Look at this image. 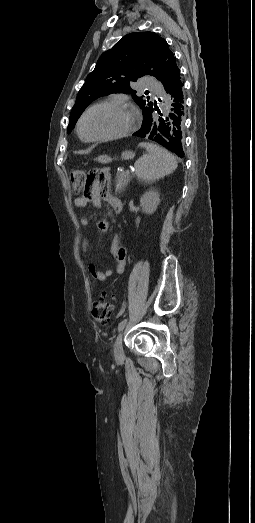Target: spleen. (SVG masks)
Here are the masks:
<instances>
[{
    "mask_svg": "<svg viewBox=\"0 0 255 523\" xmlns=\"http://www.w3.org/2000/svg\"><path fill=\"white\" fill-rule=\"evenodd\" d=\"M139 146L145 148L147 152L135 162V172L143 182L152 184L176 170L177 160L165 148L156 146V144H148V142H142Z\"/></svg>",
    "mask_w": 255,
    "mask_h": 523,
    "instance_id": "obj_1",
    "label": "spleen"
}]
</instances>
